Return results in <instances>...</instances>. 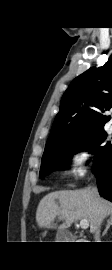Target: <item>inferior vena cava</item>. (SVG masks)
<instances>
[{
  "label": "inferior vena cava",
  "mask_w": 112,
  "mask_h": 270,
  "mask_svg": "<svg viewBox=\"0 0 112 270\" xmlns=\"http://www.w3.org/2000/svg\"><path fill=\"white\" fill-rule=\"evenodd\" d=\"M92 192H93L94 195H97V196L99 195L97 187L93 186L92 187ZM99 237H100V230L97 229L95 238L98 240V239H100Z\"/></svg>",
  "instance_id": "inferior-vena-cava-1"
}]
</instances>
